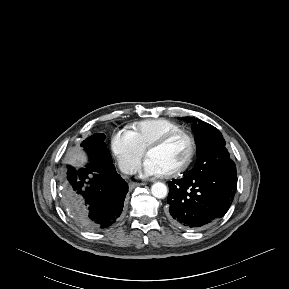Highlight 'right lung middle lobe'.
<instances>
[{
  "instance_id": "dd1d6c3e",
  "label": "right lung middle lobe",
  "mask_w": 289,
  "mask_h": 289,
  "mask_svg": "<svg viewBox=\"0 0 289 289\" xmlns=\"http://www.w3.org/2000/svg\"><path fill=\"white\" fill-rule=\"evenodd\" d=\"M104 140H105V134L96 133L88 137L86 140H84L82 142V146L89 152L100 153L107 157H111L109 150L105 146ZM69 170H70V167H68V173H69Z\"/></svg>"
}]
</instances>
